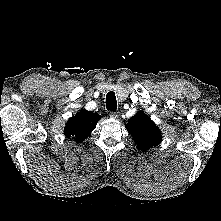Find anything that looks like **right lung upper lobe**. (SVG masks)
Listing matches in <instances>:
<instances>
[{"label":"right lung upper lobe","instance_id":"obj_1","mask_svg":"<svg viewBox=\"0 0 221 221\" xmlns=\"http://www.w3.org/2000/svg\"><path fill=\"white\" fill-rule=\"evenodd\" d=\"M100 118L97 113L81 109L66 123L64 129L66 137L74 139L76 143L84 141L91 134Z\"/></svg>","mask_w":221,"mask_h":221}]
</instances>
